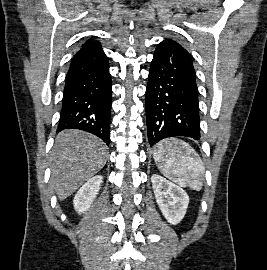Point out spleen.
Listing matches in <instances>:
<instances>
[{"mask_svg": "<svg viewBox=\"0 0 267 270\" xmlns=\"http://www.w3.org/2000/svg\"><path fill=\"white\" fill-rule=\"evenodd\" d=\"M154 160L168 179L180 186L201 190L204 165L188 143L177 138L162 140L156 148Z\"/></svg>", "mask_w": 267, "mask_h": 270, "instance_id": "3e777b00", "label": "spleen"}]
</instances>
